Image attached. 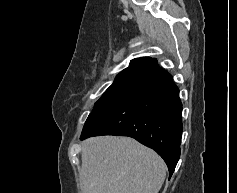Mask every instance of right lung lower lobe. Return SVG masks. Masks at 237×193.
<instances>
[{
  "mask_svg": "<svg viewBox=\"0 0 237 193\" xmlns=\"http://www.w3.org/2000/svg\"><path fill=\"white\" fill-rule=\"evenodd\" d=\"M181 112L179 89L155 61L128 97L87 118L81 139L96 135L132 137L164 159L171 177L180 158Z\"/></svg>",
  "mask_w": 237,
  "mask_h": 193,
  "instance_id": "right-lung-lower-lobe-1",
  "label": "right lung lower lobe"
}]
</instances>
